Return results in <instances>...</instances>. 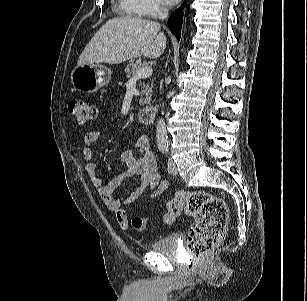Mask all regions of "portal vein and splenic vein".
I'll use <instances>...</instances> for the list:
<instances>
[{
	"instance_id": "1",
	"label": "portal vein and splenic vein",
	"mask_w": 307,
	"mask_h": 301,
	"mask_svg": "<svg viewBox=\"0 0 307 301\" xmlns=\"http://www.w3.org/2000/svg\"><path fill=\"white\" fill-rule=\"evenodd\" d=\"M152 75V68L151 67H143L136 71L135 75L132 76V79H140L150 77Z\"/></svg>"
}]
</instances>
